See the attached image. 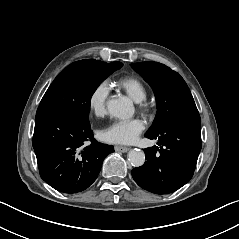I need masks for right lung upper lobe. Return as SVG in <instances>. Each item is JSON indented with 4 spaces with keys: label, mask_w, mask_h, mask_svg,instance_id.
I'll return each mask as SVG.
<instances>
[{
    "label": "right lung upper lobe",
    "mask_w": 239,
    "mask_h": 239,
    "mask_svg": "<svg viewBox=\"0 0 239 239\" xmlns=\"http://www.w3.org/2000/svg\"><path fill=\"white\" fill-rule=\"evenodd\" d=\"M114 63H117V64H122L121 62H114ZM123 65V64H122Z\"/></svg>",
    "instance_id": "1"
}]
</instances>
